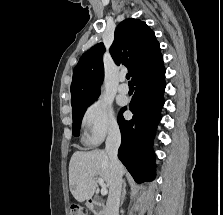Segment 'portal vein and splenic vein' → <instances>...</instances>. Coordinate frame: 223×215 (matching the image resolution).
Wrapping results in <instances>:
<instances>
[{"instance_id": "portal-vein-and-splenic-vein-1", "label": "portal vein and splenic vein", "mask_w": 223, "mask_h": 215, "mask_svg": "<svg viewBox=\"0 0 223 215\" xmlns=\"http://www.w3.org/2000/svg\"><path fill=\"white\" fill-rule=\"evenodd\" d=\"M97 181L98 183H100L102 189H101V193L102 195H106V193H108V189L104 183V179H102V177H97Z\"/></svg>"}]
</instances>
